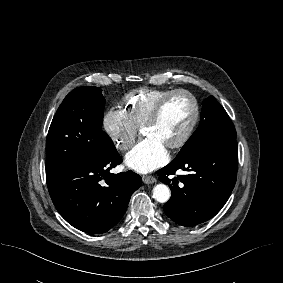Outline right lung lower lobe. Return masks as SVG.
I'll return each instance as SVG.
<instances>
[{
  "instance_id": "98d812e1",
  "label": "right lung lower lobe",
  "mask_w": 283,
  "mask_h": 283,
  "mask_svg": "<svg viewBox=\"0 0 283 283\" xmlns=\"http://www.w3.org/2000/svg\"><path fill=\"white\" fill-rule=\"evenodd\" d=\"M120 163L114 146L93 160L46 176L51 199L69 224L86 233L100 234L119 222L142 182L131 170L109 172Z\"/></svg>"
}]
</instances>
